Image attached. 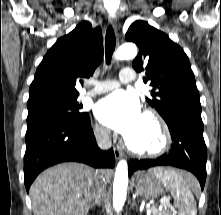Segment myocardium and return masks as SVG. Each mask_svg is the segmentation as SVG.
Instances as JSON below:
<instances>
[{
	"label": "myocardium",
	"mask_w": 221,
	"mask_h": 215,
	"mask_svg": "<svg viewBox=\"0 0 221 215\" xmlns=\"http://www.w3.org/2000/svg\"><path fill=\"white\" fill-rule=\"evenodd\" d=\"M143 117L151 121L159 134L158 144L151 149H143L134 146L127 138L124 139V145L129 152L140 157H158L164 154L170 147L171 134L169 127L163 117L153 110H146Z\"/></svg>",
	"instance_id": "obj_1"
}]
</instances>
